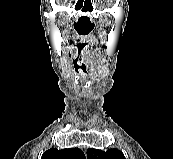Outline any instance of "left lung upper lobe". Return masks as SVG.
<instances>
[{"label":"left lung upper lobe","mask_w":173,"mask_h":159,"mask_svg":"<svg viewBox=\"0 0 173 159\" xmlns=\"http://www.w3.org/2000/svg\"><path fill=\"white\" fill-rule=\"evenodd\" d=\"M88 159H126L124 154L118 149H109L106 152L97 149L87 150Z\"/></svg>","instance_id":"1"}]
</instances>
